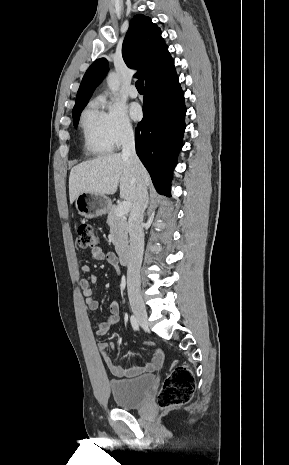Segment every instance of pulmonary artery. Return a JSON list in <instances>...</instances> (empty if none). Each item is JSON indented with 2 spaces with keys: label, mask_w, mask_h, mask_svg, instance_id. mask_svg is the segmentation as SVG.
I'll use <instances>...</instances> for the list:
<instances>
[{
  "label": "pulmonary artery",
  "mask_w": 289,
  "mask_h": 465,
  "mask_svg": "<svg viewBox=\"0 0 289 465\" xmlns=\"http://www.w3.org/2000/svg\"><path fill=\"white\" fill-rule=\"evenodd\" d=\"M128 94L131 98H136L138 97V91L134 85L129 87Z\"/></svg>",
  "instance_id": "1"
}]
</instances>
